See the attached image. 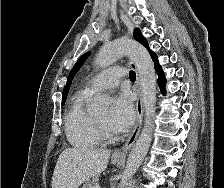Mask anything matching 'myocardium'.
Listing matches in <instances>:
<instances>
[{
	"label": "myocardium",
	"instance_id": "1",
	"mask_svg": "<svg viewBox=\"0 0 224 188\" xmlns=\"http://www.w3.org/2000/svg\"><path fill=\"white\" fill-rule=\"evenodd\" d=\"M94 125L100 140L114 141L117 136L114 132L110 131L97 117L94 115Z\"/></svg>",
	"mask_w": 224,
	"mask_h": 188
}]
</instances>
